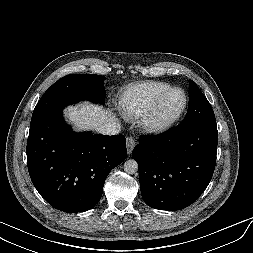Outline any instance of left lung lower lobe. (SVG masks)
Masks as SVG:
<instances>
[{"instance_id":"left-lung-lower-lobe-1","label":"left lung lower lobe","mask_w":253,"mask_h":253,"mask_svg":"<svg viewBox=\"0 0 253 253\" xmlns=\"http://www.w3.org/2000/svg\"><path fill=\"white\" fill-rule=\"evenodd\" d=\"M217 142L216 121L141 137L132 157L139 165L145 203L173 211L196 201L213 176Z\"/></svg>"}]
</instances>
